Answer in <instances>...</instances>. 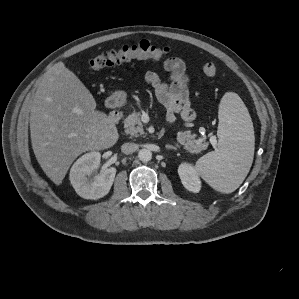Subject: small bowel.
I'll return each instance as SVG.
<instances>
[{"label": "small bowel", "mask_w": 299, "mask_h": 299, "mask_svg": "<svg viewBox=\"0 0 299 299\" xmlns=\"http://www.w3.org/2000/svg\"><path fill=\"white\" fill-rule=\"evenodd\" d=\"M162 69L169 72L168 82L160 79L154 71L145 74V80L154 88L157 100L167 111V121L172 123L178 114L184 121L194 120L195 113L189 103V78L185 62L178 57H170L162 64Z\"/></svg>", "instance_id": "1"}]
</instances>
